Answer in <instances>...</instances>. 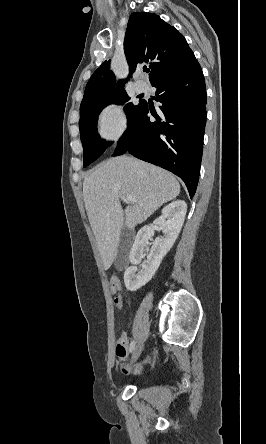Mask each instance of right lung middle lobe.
<instances>
[{
    "mask_svg": "<svg viewBox=\"0 0 266 444\" xmlns=\"http://www.w3.org/2000/svg\"><path fill=\"white\" fill-rule=\"evenodd\" d=\"M130 97L124 89L115 90L91 101L81 104L80 106V136L84 150L83 167L99 158L111 143L101 140L97 133V119L101 110L109 104H125L124 110L127 115V125H129L140 113L144 101L139 104L129 102Z\"/></svg>",
    "mask_w": 266,
    "mask_h": 444,
    "instance_id": "obj_1",
    "label": "right lung middle lobe"
}]
</instances>
